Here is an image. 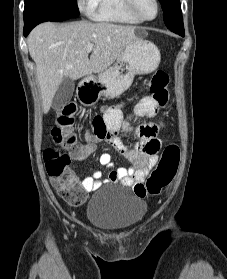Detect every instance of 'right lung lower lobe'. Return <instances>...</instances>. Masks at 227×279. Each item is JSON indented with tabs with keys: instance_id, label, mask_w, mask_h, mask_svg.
Instances as JSON below:
<instances>
[{
	"instance_id": "right-lung-lower-lobe-1",
	"label": "right lung lower lobe",
	"mask_w": 227,
	"mask_h": 279,
	"mask_svg": "<svg viewBox=\"0 0 227 279\" xmlns=\"http://www.w3.org/2000/svg\"><path fill=\"white\" fill-rule=\"evenodd\" d=\"M67 19H70V17L58 15L47 10L36 11L31 17L24 19V36H27L39 23L45 21H64Z\"/></svg>"
}]
</instances>
